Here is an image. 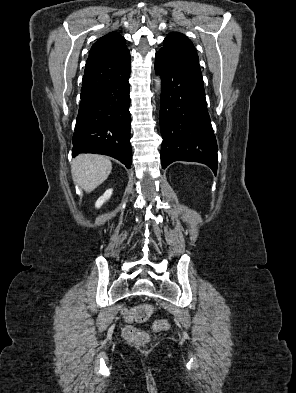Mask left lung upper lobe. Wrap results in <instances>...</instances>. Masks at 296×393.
<instances>
[{
    "label": "left lung upper lobe",
    "instance_id": "left-lung-upper-lobe-1",
    "mask_svg": "<svg viewBox=\"0 0 296 393\" xmlns=\"http://www.w3.org/2000/svg\"><path fill=\"white\" fill-rule=\"evenodd\" d=\"M159 55L180 62L198 63V55L193 43L181 33H172L164 39Z\"/></svg>",
    "mask_w": 296,
    "mask_h": 393
}]
</instances>
